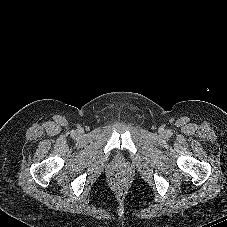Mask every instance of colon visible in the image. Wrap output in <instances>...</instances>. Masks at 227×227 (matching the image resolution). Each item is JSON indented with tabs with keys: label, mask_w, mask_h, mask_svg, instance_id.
<instances>
[{
	"label": "colon",
	"mask_w": 227,
	"mask_h": 227,
	"mask_svg": "<svg viewBox=\"0 0 227 227\" xmlns=\"http://www.w3.org/2000/svg\"><path fill=\"white\" fill-rule=\"evenodd\" d=\"M111 188L118 196H123L128 190V178L123 173H116L111 178Z\"/></svg>",
	"instance_id": "obj_1"
}]
</instances>
